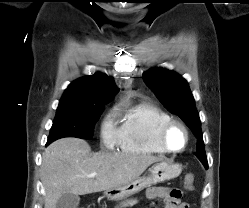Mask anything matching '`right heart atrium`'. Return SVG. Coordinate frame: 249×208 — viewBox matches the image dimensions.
<instances>
[{"mask_svg":"<svg viewBox=\"0 0 249 208\" xmlns=\"http://www.w3.org/2000/svg\"><path fill=\"white\" fill-rule=\"evenodd\" d=\"M116 110H111L103 119L101 124V139L108 149L114 148L119 143L120 129L116 124Z\"/></svg>","mask_w":249,"mask_h":208,"instance_id":"right-heart-atrium-1","label":"right heart atrium"}]
</instances>
